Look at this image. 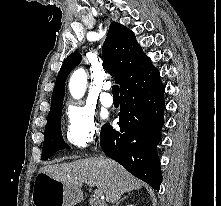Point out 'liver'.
I'll list each match as a JSON object with an SVG mask.
<instances>
[{
    "mask_svg": "<svg viewBox=\"0 0 221 206\" xmlns=\"http://www.w3.org/2000/svg\"><path fill=\"white\" fill-rule=\"evenodd\" d=\"M55 180L79 188L83 181L96 186L105 195V200L115 203L121 195L141 188V182L124 167L111 159L86 158L71 163L46 165L40 168Z\"/></svg>",
    "mask_w": 221,
    "mask_h": 206,
    "instance_id": "obj_1",
    "label": "liver"
}]
</instances>
